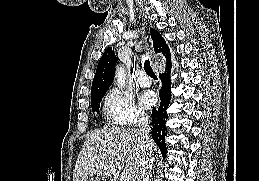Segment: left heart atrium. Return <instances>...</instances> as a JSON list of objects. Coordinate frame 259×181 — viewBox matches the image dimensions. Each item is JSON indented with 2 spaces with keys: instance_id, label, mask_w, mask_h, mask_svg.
I'll use <instances>...</instances> for the list:
<instances>
[{
  "instance_id": "left-heart-atrium-1",
  "label": "left heart atrium",
  "mask_w": 259,
  "mask_h": 181,
  "mask_svg": "<svg viewBox=\"0 0 259 181\" xmlns=\"http://www.w3.org/2000/svg\"><path fill=\"white\" fill-rule=\"evenodd\" d=\"M156 101H157L156 95L151 91H147L143 93L140 98L141 104L146 108H150L154 106Z\"/></svg>"
}]
</instances>
